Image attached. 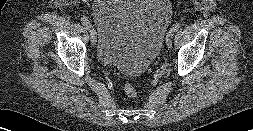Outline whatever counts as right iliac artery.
I'll list each match as a JSON object with an SVG mask.
<instances>
[{
    "label": "right iliac artery",
    "instance_id": "right-iliac-artery-1",
    "mask_svg": "<svg viewBox=\"0 0 253 131\" xmlns=\"http://www.w3.org/2000/svg\"><path fill=\"white\" fill-rule=\"evenodd\" d=\"M80 21H81L82 25H84L87 28L91 25L90 21L86 17L81 18Z\"/></svg>",
    "mask_w": 253,
    "mask_h": 131
}]
</instances>
